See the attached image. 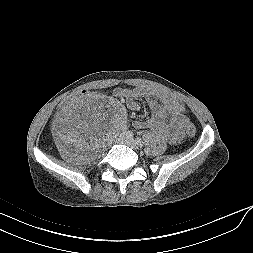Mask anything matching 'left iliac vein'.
Returning <instances> with one entry per match:
<instances>
[{
	"mask_svg": "<svg viewBox=\"0 0 253 253\" xmlns=\"http://www.w3.org/2000/svg\"><path fill=\"white\" fill-rule=\"evenodd\" d=\"M123 144L128 145L132 149H138V145L136 143V140L132 137H125L124 140L122 141Z\"/></svg>",
	"mask_w": 253,
	"mask_h": 253,
	"instance_id": "left-iliac-vein-1",
	"label": "left iliac vein"
}]
</instances>
